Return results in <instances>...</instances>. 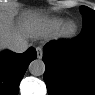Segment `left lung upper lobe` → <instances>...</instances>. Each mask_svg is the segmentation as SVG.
<instances>
[{
  "label": "left lung upper lobe",
  "mask_w": 95,
  "mask_h": 95,
  "mask_svg": "<svg viewBox=\"0 0 95 95\" xmlns=\"http://www.w3.org/2000/svg\"><path fill=\"white\" fill-rule=\"evenodd\" d=\"M80 11L83 15V31L95 29V11L86 6H81Z\"/></svg>",
  "instance_id": "obj_1"
}]
</instances>
